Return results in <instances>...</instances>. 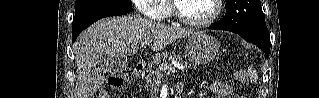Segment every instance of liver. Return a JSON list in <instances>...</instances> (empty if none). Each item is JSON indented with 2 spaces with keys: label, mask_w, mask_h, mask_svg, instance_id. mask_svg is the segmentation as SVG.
Returning <instances> with one entry per match:
<instances>
[{
  "label": "liver",
  "mask_w": 319,
  "mask_h": 98,
  "mask_svg": "<svg viewBox=\"0 0 319 98\" xmlns=\"http://www.w3.org/2000/svg\"><path fill=\"white\" fill-rule=\"evenodd\" d=\"M198 31L166 26L139 15L110 17L99 20L77 39V80L74 98H92L103 85L105 77L98 68L104 54L132 55L145 40H153L152 49L160 51L174 40Z\"/></svg>",
  "instance_id": "6515ba94"
}]
</instances>
